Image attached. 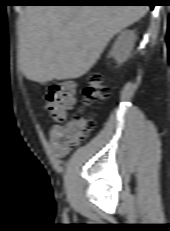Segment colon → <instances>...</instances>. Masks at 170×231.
<instances>
[{"label": "colon", "instance_id": "5ec220e1", "mask_svg": "<svg viewBox=\"0 0 170 231\" xmlns=\"http://www.w3.org/2000/svg\"><path fill=\"white\" fill-rule=\"evenodd\" d=\"M110 91L99 73L93 72L89 75L87 84L83 90L84 104L95 101H106ZM75 105V84L71 80H65L51 85L45 108L51 118L57 122L66 121L67 111ZM63 140L71 148L82 141H86L95 128L92 118L83 117L76 113L74 117L63 126Z\"/></svg>", "mask_w": 170, "mask_h": 231}]
</instances>
